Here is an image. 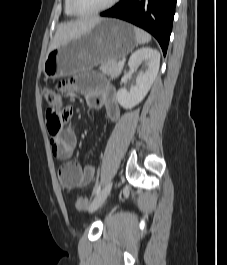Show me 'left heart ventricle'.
I'll list each match as a JSON object with an SVG mask.
<instances>
[{
	"mask_svg": "<svg viewBox=\"0 0 227 265\" xmlns=\"http://www.w3.org/2000/svg\"><path fill=\"white\" fill-rule=\"evenodd\" d=\"M110 0H76L77 7L82 11H90L105 5Z\"/></svg>",
	"mask_w": 227,
	"mask_h": 265,
	"instance_id": "1",
	"label": "left heart ventricle"
}]
</instances>
